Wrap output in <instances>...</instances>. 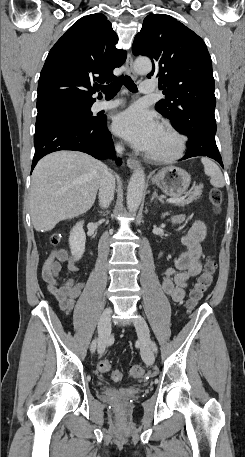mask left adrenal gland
<instances>
[{
    "instance_id": "a2214340",
    "label": "left adrenal gland",
    "mask_w": 245,
    "mask_h": 457,
    "mask_svg": "<svg viewBox=\"0 0 245 457\" xmlns=\"http://www.w3.org/2000/svg\"><path fill=\"white\" fill-rule=\"evenodd\" d=\"M153 198H158V200H161V202H163V198H161V196H158L157 190H154L151 200H153Z\"/></svg>"
}]
</instances>
